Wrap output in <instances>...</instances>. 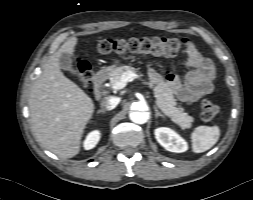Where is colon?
<instances>
[{"label": "colon", "instance_id": "colon-1", "mask_svg": "<svg viewBox=\"0 0 253 200\" xmlns=\"http://www.w3.org/2000/svg\"><path fill=\"white\" fill-rule=\"evenodd\" d=\"M191 44L186 39H179L173 37H149V38H132L124 39H104L98 47L102 53H124V52H140L145 54H152L158 56L172 57L180 53L189 51ZM79 75L82 79L87 80L91 76L90 67L86 62H79ZM219 107L216 103L205 100L201 105V118L205 122H213L217 116Z\"/></svg>", "mask_w": 253, "mask_h": 200}]
</instances>
